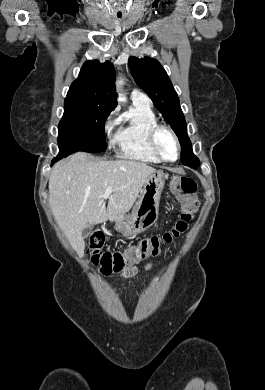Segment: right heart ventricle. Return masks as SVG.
I'll list each match as a JSON object with an SVG mask.
<instances>
[{"instance_id":"obj_1","label":"right heart ventricle","mask_w":265,"mask_h":390,"mask_svg":"<svg viewBox=\"0 0 265 390\" xmlns=\"http://www.w3.org/2000/svg\"><path fill=\"white\" fill-rule=\"evenodd\" d=\"M157 123V116L149 104L133 102L118 120L119 126L112 140L117 154L128 160L160 163L147 140L149 129Z\"/></svg>"}]
</instances>
